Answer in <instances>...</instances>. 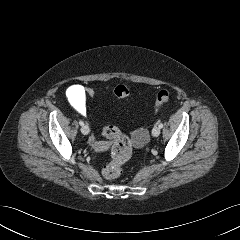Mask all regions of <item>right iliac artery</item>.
<instances>
[{"label": "right iliac artery", "instance_id": "right-iliac-artery-1", "mask_svg": "<svg viewBox=\"0 0 240 240\" xmlns=\"http://www.w3.org/2000/svg\"><path fill=\"white\" fill-rule=\"evenodd\" d=\"M79 124L81 125V126H83L84 125V122L83 121H79Z\"/></svg>", "mask_w": 240, "mask_h": 240}]
</instances>
